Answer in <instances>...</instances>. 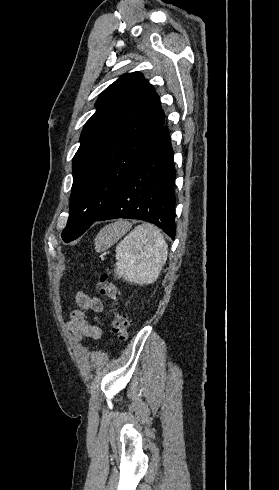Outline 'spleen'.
Listing matches in <instances>:
<instances>
[{
    "mask_svg": "<svg viewBox=\"0 0 279 490\" xmlns=\"http://www.w3.org/2000/svg\"><path fill=\"white\" fill-rule=\"evenodd\" d=\"M130 228L131 224L122 220L102 228L96 238V252L111 248ZM167 248L156 226L146 222L136 226L116 248L115 278H124L139 286L153 284L167 260Z\"/></svg>",
    "mask_w": 279,
    "mask_h": 490,
    "instance_id": "1",
    "label": "spleen"
}]
</instances>
